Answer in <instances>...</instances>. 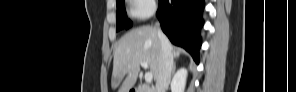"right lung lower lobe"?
I'll use <instances>...</instances> for the list:
<instances>
[{"mask_svg":"<svg viewBox=\"0 0 296 92\" xmlns=\"http://www.w3.org/2000/svg\"><path fill=\"white\" fill-rule=\"evenodd\" d=\"M203 0H159L157 17L170 41L185 48L198 63Z\"/></svg>","mask_w":296,"mask_h":92,"instance_id":"98d812e1","label":"right lung lower lobe"}]
</instances>
